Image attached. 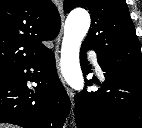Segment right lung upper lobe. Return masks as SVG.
Here are the masks:
<instances>
[{
	"label": "right lung upper lobe",
	"instance_id": "obj_1",
	"mask_svg": "<svg viewBox=\"0 0 142 128\" xmlns=\"http://www.w3.org/2000/svg\"><path fill=\"white\" fill-rule=\"evenodd\" d=\"M60 27L50 0H0V80L43 54Z\"/></svg>",
	"mask_w": 142,
	"mask_h": 128
}]
</instances>
